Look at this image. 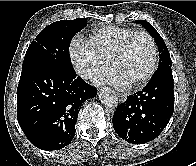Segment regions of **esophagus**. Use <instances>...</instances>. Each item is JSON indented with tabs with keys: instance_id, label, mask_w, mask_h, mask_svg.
<instances>
[{
	"instance_id": "obj_1",
	"label": "esophagus",
	"mask_w": 196,
	"mask_h": 166,
	"mask_svg": "<svg viewBox=\"0 0 196 166\" xmlns=\"http://www.w3.org/2000/svg\"><path fill=\"white\" fill-rule=\"evenodd\" d=\"M118 98H119L120 102H125L126 99H127L126 95L125 94H121V93L118 94Z\"/></svg>"
}]
</instances>
